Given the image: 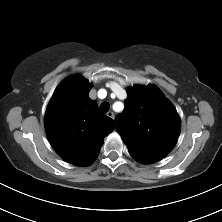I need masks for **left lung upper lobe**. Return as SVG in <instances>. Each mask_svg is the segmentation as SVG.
<instances>
[{
    "label": "left lung upper lobe",
    "instance_id": "1",
    "mask_svg": "<svg viewBox=\"0 0 222 222\" xmlns=\"http://www.w3.org/2000/svg\"><path fill=\"white\" fill-rule=\"evenodd\" d=\"M123 114L116 117V130L138 162L150 164L164 158L180 133L179 115L154 85L127 89Z\"/></svg>",
    "mask_w": 222,
    "mask_h": 222
}]
</instances>
